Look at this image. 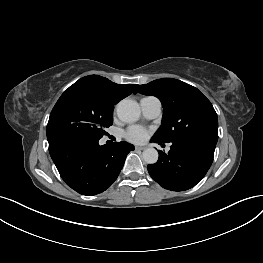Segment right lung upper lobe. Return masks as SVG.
Returning <instances> with one entry per match:
<instances>
[{
	"label": "right lung upper lobe",
	"mask_w": 263,
	"mask_h": 263,
	"mask_svg": "<svg viewBox=\"0 0 263 263\" xmlns=\"http://www.w3.org/2000/svg\"><path fill=\"white\" fill-rule=\"evenodd\" d=\"M137 84H116L105 77L98 75H89L79 79L70 86L64 93L71 91H82L92 94L106 104L114 107L120 100L136 93Z\"/></svg>",
	"instance_id": "right-lung-upper-lobe-1"
}]
</instances>
